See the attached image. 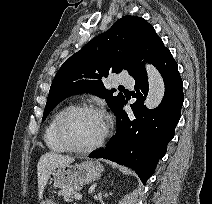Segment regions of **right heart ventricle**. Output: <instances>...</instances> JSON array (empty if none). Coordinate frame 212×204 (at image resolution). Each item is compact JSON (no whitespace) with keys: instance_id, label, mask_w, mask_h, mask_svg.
<instances>
[{"instance_id":"e07e8e85","label":"right heart ventricle","mask_w":212,"mask_h":204,"mask_svg":"<svg viewBox=\"0 0 212 204\" xmlns=\"http://www.w3.org/2000/svg\"><path fill=\"white\" fill-rule=\"evenodd\" d=\"M66 108L67 107L61 108L54 113L44 132V141L47 147L54 152L61 153V152L67 151V149L59 141L57 132H56L58 119Z\"/></svg>"}]
</instances>
